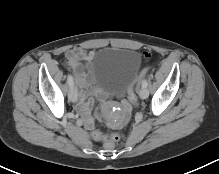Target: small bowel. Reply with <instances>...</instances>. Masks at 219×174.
Listing matches in <instances>:
<instances>
[{"mask_svg":"<svg viewBox=\"0 0 219 174\" xmlns=\"http://www.w3.org/2000/svg\"><path fill=\"white\" fill-rule=\"evenodd\" d=\"M95 54L96 52L93 50L86 51L81 48L70 49L66 53V57L73 67L77 83L80 87L78 108L85 117V126L88 129H91L94 126V119L89 116L92 106V100L87 99L88 96L91 94L88 89L91 84V75L87 67L83 63L89 64ZM143 60L146 63H153L156 60V53L153 50H146L143 53ZM101 96L104 95L102 94ZM120 106L124 116L120 121L113 120L112 122H110L109 127L112 130L124 129L125 127H127V125L131 123L133 119V112L130 108L128 101H121Z\"/></svg>","mask_w":219,"mask_h":174,"instance_id":"1","label":"small bowel"}]
</instances>
